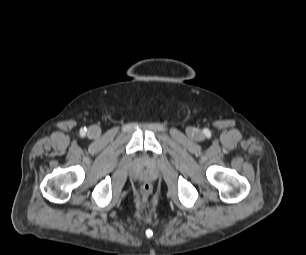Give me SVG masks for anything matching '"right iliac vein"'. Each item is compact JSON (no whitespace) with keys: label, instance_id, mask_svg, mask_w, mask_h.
<instances>
[{"label":"right iliac vein","instance_id":"right-iliac-vein-1","mask_svg":"<svg viewBox=\"0 0 306 255\" xmlns=\"http://www.w3.org/2000/svg\"><path fill=\"white\" fill-rule=\"evenodd\" d=\"M100 133H101V129L96 125L91 126L88 130V135L92 138L98 137Z\"/></svg>","mask_w":306,"mask_h":255}]
</instances>
